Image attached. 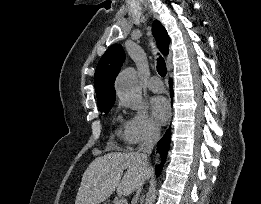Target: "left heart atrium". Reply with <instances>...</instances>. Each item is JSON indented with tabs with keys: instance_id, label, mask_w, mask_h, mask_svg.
<instances>
[{
	"instance_id": "obj_1",
	"label": "left heart atrium",
	"mask_w": 261,
	"mask_h": 204,
	"mask_svg": "<svg viewBox=\"0 0 261 204\" xmlns=\"http://www.w3.org/2000/svg\"><path fill=\"white\" fill-rule=\"evenodd\" d=\"M150 107L157 122L163 124L170 117V106L168 101L162 96L153 97L150 101Z\"/></svg>"
}]
</instances>
